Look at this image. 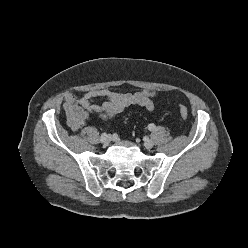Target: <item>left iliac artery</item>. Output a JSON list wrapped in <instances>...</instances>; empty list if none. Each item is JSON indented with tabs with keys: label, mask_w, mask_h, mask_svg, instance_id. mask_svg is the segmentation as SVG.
I'll return each instance as SVG.
<instances>
[{
	"label": "left iliac artery",
	"mask_w": 248,
	"mask_h": 248,
	"mask_svg": "<svg viewBox=\"0 0 248 248\" xmlns=\"http://www.w3.org/2000/svg\"><path fill=\"white\" fill-rule=\"evenodd\" d=\"M155 128H156V126H155L153 123H151V124L148 125V129H149L150 131H154Z\"/></svg>",
	"instance_id": "44dca946"
}]
</instances>
